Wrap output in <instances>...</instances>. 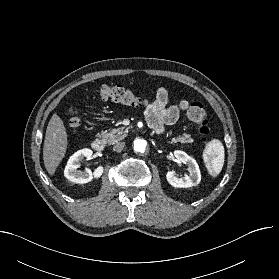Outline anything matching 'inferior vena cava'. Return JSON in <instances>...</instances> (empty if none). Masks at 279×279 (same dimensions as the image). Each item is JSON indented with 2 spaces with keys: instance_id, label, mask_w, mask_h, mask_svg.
Here are the masks:
<instances>
[{
  "instance_id": "obj_1",
  "label": "inferior vena cava",
  "mask_w": 279,
  "mask_h": 279,
  "mask_svg": "<svg viewBox=\"0 0 279 279\" xmlns=\"http://www.w3.org/2000/svg\"><path fill=\"white\" fill-rule=\"evenodd\" d=\"M124 146H125V143H124V142H119V143H117L116 145H114L113 151H115V152H121V151L123 150Z\"/></svg>"
}]
</instances>
